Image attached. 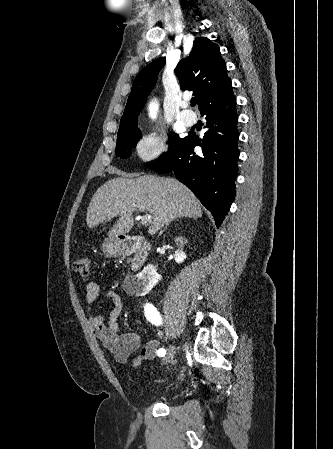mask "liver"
<instances>
[{
  "label": "liver",
  "instance_id": "obj_1",
  "mask_svg": "<svg viewBox=\"0 0 333 449\" xmlns=\"http://www.w3.org/2000/svg\"><path fill=\"white\" fill-rule=\"evenodd\" d=\"M135 211L152 215L148 229L151 235L175 218L197 219L203 214L195 195L176 179L133 175L111 179L98 188L87 209L86 221L93 228L119 216L109 232L119 237L133 228Z\"/></svg>",
  "mask_w": 333,
  "mask_h": 449
}]
</instances>
